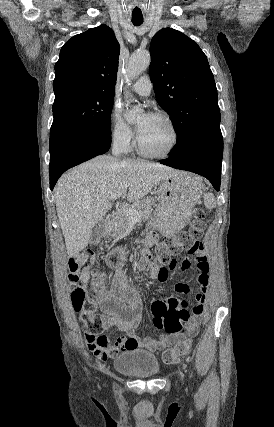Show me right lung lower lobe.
Segmentation results:
<instances>
[{"label":"right lung lower lobe","mask_w":274,"mask_h":427,"mask_svg":"<svg viewBox=\"0 0 274 427\" xmlns=\"http://www.w3.org/2000/svg\"><path fill=\"white\" fill-rule=\"evenodd\" d=\"M111 145V134H83L59 144L50 152V189L69 168L106 153Z\"/></svg>","instance_id":"1"}]
</instances>
